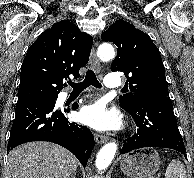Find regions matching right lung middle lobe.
<instances>
[{
	"mask_svg": "<svg viewBox=\"0 0 194 178\" xmlns=\"http://www.w3.org/2000/svg\"><path fill=\"white\" fill-rule=\"evenodd\" d=\"M57 99V97L55 98H50V99H44V100H40V101H55Z\"/></svg>",
	"mask_w": 194,
	"mask_h": 178,
	"instance_id": "obj_1",
	"label": "right lung middle lobe"
}]
</instances>
